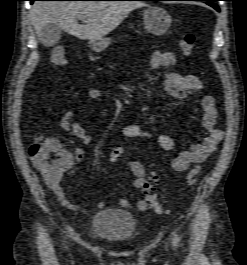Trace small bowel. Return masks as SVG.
Masks as SVG:
<instances>
[{"mask_svg": "<svg viewBox=\"0 0 247 265\" xmlns=\"http://www.w3.org/2000/svg\"><path fill=\"white\" fill-rule=\"evenodd\" d=\"M176 64V57L171 52L156 51L152 55L150 68L153 70L165 68L169 69ZM163 84L166 91L176 99L184 100L189 96H193L203 89L202 81L195 75H181L177 72L168 71L163 77ZM110 90L91 88L87 95L91 99H99L108 95ZM200 108L203 111L202 125L208 132V135L201 143H195L188 150L180 152L173 160L172 167L175 171L184 172L194 163L204 162L212 153H214L223 139V131L216 126L218 110L215 98L211 95H203L199 101ZM75 109L66 111L60 119V127L66 131L72 138L79 140L83 144L91 142L92 137L88 130L82 125L75 122ZM122 134L126 138H152L164 151H172L175 148V141L172 137L165 134H154L143 129L137 124H127L122 129ZM48 143H55L61 147L60 139L57 136H49L46 138ZM70 158V166L67 172L73 173L75 167L83 160L84 151L80 148L73 150H64ZM34 161V160H33ZM37 168L42 172L46 184L56 195L59 202L66 208L73 211L86 212L84 208L70 201L65 193L62 185L64 174H51L34 161ZM131 174L133 175L132 185L134 188L140 189L143 196L136 202V207L140 211L148 208L150 194L152 191L151 184L146 177L144 165L139 161H130L128 163ZM119 205L128 208L130 202L127 199H120ZM99 209L105 207V202L100 201L97 204Z\"/></svg>", "mask_w": 247, "mask_h": 265, "instance_id": "obj_1", "label": "small bowel"}]
</instances>
